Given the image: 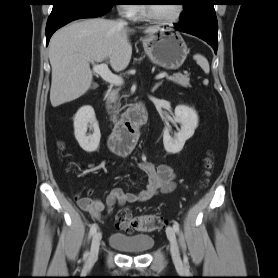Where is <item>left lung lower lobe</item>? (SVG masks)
Returning <instances> with one entry per match:
<instances>
[{
    "instance_id": "obj_1",
    "label": "left lung lower lobe",
    "mask_w": 278,
    "mask_h": 278,
    "mask_svg": "<svg viewBox=\"0 0 278 278\" xmlns=\"http://www.w3.org/2000/svg\"><path fill=\"white\" fill-rule=\"evenodd\" d=\"M175 29L197 36L206 41L216 54L218 47V24L205 14H198L189 20L175 24Z\"/></svg>"
}]
</instances>
